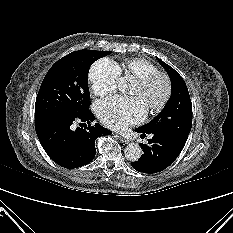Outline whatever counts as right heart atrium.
<instances>
[{"instance_id":"right-heart-atrium-1","label":"right heart atrium","mask_w":233,"mask_h":233,"mask_svg":"<svg viewBox=\"0 0 233 233\" xmlns=\"http://www.w3.org/2000/svg\"><path fill=\"white\" fill-rule=\"evenodd\" d=\"M120 72L115 62L102 58L89 69V80L97 96H105L115 91Z\"/></svg>"}]
</instances>
